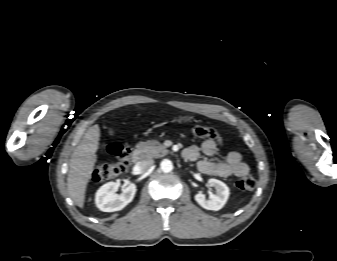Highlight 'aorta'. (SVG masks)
Masks as SVG:
<instances>
[{
	"instance_id": "obj_1",
	"label": "aorta",
	"mask_w": 337,
	"mask_h": 261,
	"mask_svg": "<svg viewBox=\"0 0 337 261\" xmlns=\"http://www.w3.org/2000/svg\"><path fill=\"white\" fill-rule=\"evenodd\" d=\"M161 170L165 173L171 172L173 170V164L169 159H164L160 164Z\"/></svg>"
}]
</instances>
